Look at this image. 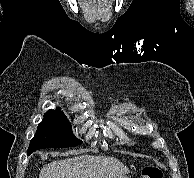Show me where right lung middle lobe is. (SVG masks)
I'll return each instance as SVG.
<instances>
[{
    "instance_id": "1",
    "label": "right lung middle lobe",
    "mask_w": 194,
    "mask_h": 178,
    "mask_svg": "<svg viewBox=\"0 0 194 178\" xmlns=\"http://www.w3.org/2000/svg\"><path fill=\"white\" fill-rule=\"evenodd\" d=\"M81 143L82 141L72 133L71 124L64 113L59 110H49L44 114L43 121L30 141L28 155L38 149L66 148Z\"/></svg>"
}]
</instances>
